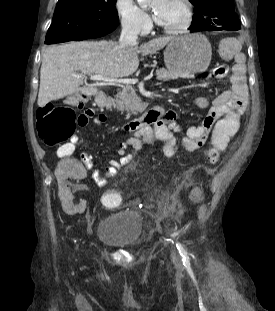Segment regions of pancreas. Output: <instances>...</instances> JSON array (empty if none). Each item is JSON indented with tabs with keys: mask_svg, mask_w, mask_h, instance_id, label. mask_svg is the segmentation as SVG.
Returning <instances> with one entry per match:
<instances>
[{
	"mask_svg": "<svg viewBox=\"0 0 275 311\" xmlns=\"http://www.w3.org/2000/svg\"><path fill=\"white\" fill-rule=\"evenodd\" d=\"M156 74L158 80L169 81L171 79H175V76L164 68L157 69ZM141 105V100L137 96L135 89L132 87V85H126L115 96L113 106L118 111H126L127 117H129L130 115L136 114L138 111H140Z\"/></svg>",
	"mask_w": 275,
	"mask_h": 311,
	"instance_id": "1",
	"label": "pancreas"
}]
</instances>
